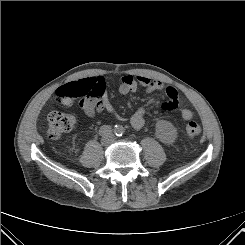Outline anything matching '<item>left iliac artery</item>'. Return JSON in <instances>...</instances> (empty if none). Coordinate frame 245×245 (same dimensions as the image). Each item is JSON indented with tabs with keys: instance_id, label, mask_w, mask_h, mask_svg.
Here are the masks:
<instances>
[{
	"instance_id": "44dca946",
	"label": "left iliac artery",
	"mask_w": 245,
	"mask_h": 245,
	"mask_svg": "<svg viewBox=\"0 0 245 245\" xmlns=\"http://www.w3.org/2000/svg\"><path fill=\"white\" fill-rule=\"evenodd\" d=\"M125 129L122 126L116 125L114 128V133L116 136L120 137L124 134Z\"/></svg>"
}]
</instances>
